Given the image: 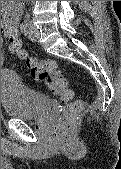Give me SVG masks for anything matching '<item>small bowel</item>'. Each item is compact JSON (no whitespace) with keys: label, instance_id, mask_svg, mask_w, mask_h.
I'll use <instances>...</instances> for the list:
<instances>
[{"label":"small bowel","instance_id":"c3829d8e","mask_svg":"<svg viewBox=\"0 0 121 169\" xmlns=\"http://www.w3.org/2000/svg\"><path fill=\"white\" fill-rule=\"evenodd\" d=\"M1 13V32L3 36L5 32L10 30L18 32V20L21 14V5L18 1H2ZM6 59L7 58L3 56L2 62H5Z\"/></svg>","mask_w":121,"mask_h":169}]
</instances>
